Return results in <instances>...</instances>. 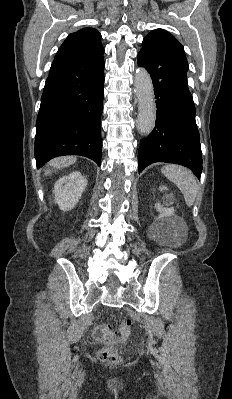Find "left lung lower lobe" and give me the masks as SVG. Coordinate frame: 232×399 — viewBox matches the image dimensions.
I'll return each mask as SVG.
<instances>
[{
  "label": "left lung lower lobe",
  "mask_w": 232,
  "mask_h": 399,
  "mask_svg": "<svg viewBox=\"0 0 232 399\" xmlns=\"http://www.w3.org/2000/svg\"><path fill=\"white\" fill-rule=\"evenodd\" d=\"M138 65L150 74L156 98V124L140 141L138 171L155 162L188 167L200 179L202 153L196 109L187 83V69L167 48L143 44Z\"/></svg>",
  "instance_id": "0a47b994"
}]
</instances>
